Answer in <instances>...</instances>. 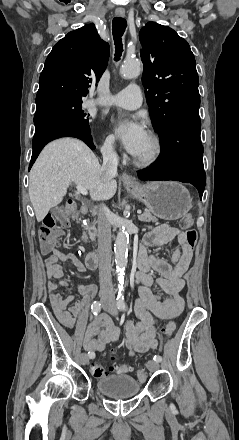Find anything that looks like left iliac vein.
<instances>
[{"label":"left iliac vein","instance_id":"obj_1","mask_svg":"<svg viewBox=\"0 0 239 440\" xmlns=\"http://www.w3.org/2000/svg\"><path fill=\"white\" fill-rule=\"evenodd\" d=\"M106 310L111 314V315H117L118 314V310L117 307L115 305L114 302H109L108 306L106 307ZM147 368L149 371L153 372L159 369V363L151 360L147 363Z\"/></svg>","mask_w":239,"mask_h":440}]
</instances>
